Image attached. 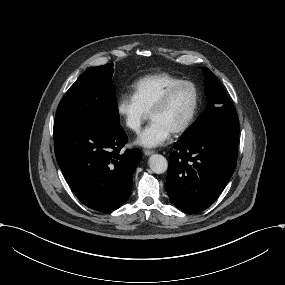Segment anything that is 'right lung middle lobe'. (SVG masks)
Instances as JSON below:
<instances>
[{
  "instance_id": "obj_1",
  "label": "right lung middle lobe",
  "mask_w": 285,
  "mask_h": 285,
  "mask_svg": "<svg viewBox=\"0 0 285 285\" xmlns=\"http://www.w3.org/2000/svg\"><path fill=\"white\" fill-rule=\"evenodd\" d=\"M113 72V63H108L92 67L80 75L59 103L55 124L119 126L115 88L111 81Z\"/></svg>"
}]
</instances>
